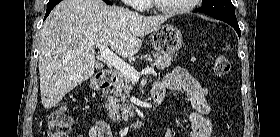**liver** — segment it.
I'll list each match as a JSON object with an SVG mask.
<instances>
[{"mask_svg":"<svg viewBox=\"0 0 280 137\" xmlns=\"http://www.w3.org/2000/svg\"><path fill=\"white\" fill-rule=\"evenodd\" d=\"M169 16H143L102 0H63L51 11L40 32L39 74L41 101L57 105L94 73L97 45L119 56L132 57L141 38Z\"/></svg>","mask_w":280,"mask_h":137,"instance_id":"liver-1","label":"liver"}]
</instances>
